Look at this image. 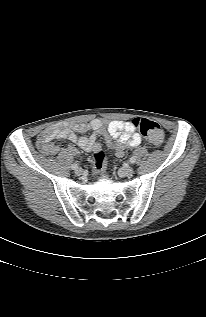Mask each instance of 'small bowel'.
Masks as SVG:
<instances>
[{
    "mask_svg": "<svg viewBox=\"0 0 206 317\" xmlns=\"http://www.w3.org/2000/svg\"><path fill=\"white\" fill-rule=\"evenodd\" d=\"M91 131L90 136H82ZM103 136L107 145L115 151L117 157H123L126 148H134L141 144L142 138L136 132V128L130 121L93 119L89 123H77L65 128L47 127L38 135L41 147L48 153L56 154L61 146L54 141L69 140L88 152L100 150L97 139ZM67 151L71 155H77L78 150L69 146Z\"/></svg>",
    "mask_w": 206,
    "mask_h": 317,
    "instance_id": "1",
    "label": "small bowel"
}]
</instances>
